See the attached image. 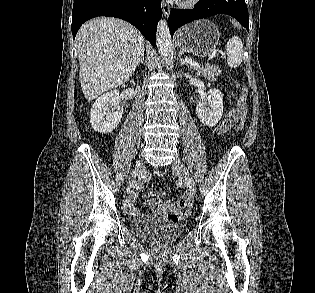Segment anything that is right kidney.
I'll use <instances>...</instances> for the list:
<instances>
[{"instance_id": "1", "label": "right kidney", "mask_w": 315, "mask_h": 293, "mask_svg": "<svg viewBox=\"0 0 315 293\" xmlns=\"http://www.w3.org/2000/svg\"><path fill=\"white\" fill-rule=\"evenodd\" d=\"M119 102L116 90L103 94L95 101L90 112V123L96 132L109 134L118 126L123 115V108L115 111Z\"/></svg>"}]
</instances>
